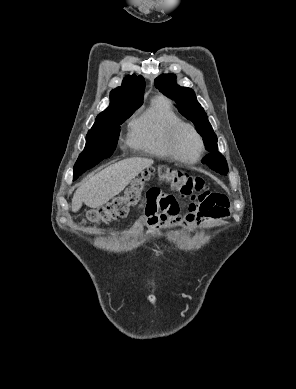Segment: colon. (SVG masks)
Segmentation results:
<instances>
[{"label":"colon","mask_w":296,"mask_h":389,"mask_svg":"<svg viewBox=\"0 0 296 389\" xmlns=\"http://www.w3.org/2000/svg\"><path fill=\"white\" fill-rule=\"evenodd\" d=\"M154 174H157L163 182L169 184L182 197H190L194 194L199 195L208 192L203 178L189 175L182 170L173 169L168 166H159L156 169H150L142 173L120 195L114 197L106 204L89 210L83 222L101 224L125 217L130 208L140 201L146 182Z\"/></svg>","instance_id":"5ec220e1"}]
</instances>
